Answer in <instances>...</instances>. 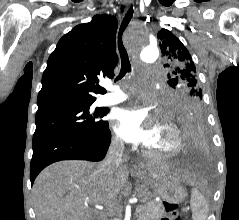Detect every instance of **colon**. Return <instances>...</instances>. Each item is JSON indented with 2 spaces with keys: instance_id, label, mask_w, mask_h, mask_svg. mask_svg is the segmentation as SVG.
I'll list each match as a JSON object with an SVG mask.
<instances>
[{
  "instance_id": "obj_1",
  "label": "colon",
  "mask_w": 239,
  "mask_h": 220,
  "mask_svg": "<svg viewBox=\"0 0 239 220\" xmlns=\"http://www.w3.org/2000/svg\"><path fill=\"white\" fill-rule=\"evenodd\" d=\"M163 205L167 216L162 220H180L177 215V204L171 202H164Z\"/></svg>"
}]
</instances>
